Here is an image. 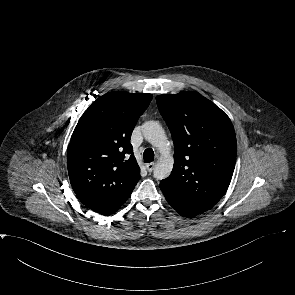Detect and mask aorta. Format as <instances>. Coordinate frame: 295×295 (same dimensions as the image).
Returning a JSON list of instances; mask_svg holds the SVG:
<instances>
[{
    "instance_id": "aorta-1",
    "label": "aorta",
    "mask_w": 295,
    "mask_h": 295,
    "mask_svg": "<svg viewBox=\"0 0 295 295\" xmlns=\"http://www.w3.org/2000/svg\"><path fill=\"white\" fill-rule=\"evenodd\" d=\"M142 133L144 138L155 146L161 154L154 167V177L157 180L167 178L172 171L174 160L163 127L157 121H147L142 125Z\"/></svg>"
}]
</instances>
